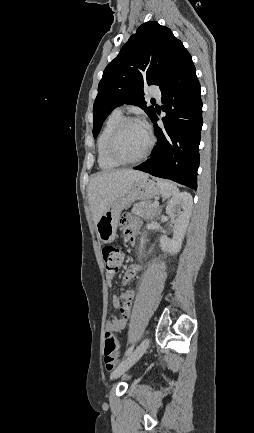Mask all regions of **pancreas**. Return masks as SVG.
I'll return each instance as SVG.
<instances>
[{
    "instance_id": "pancreas-1",
    "label": "pancreas",
    "mask_w": 254,
    "mask_h": 433,
    "mask_svg": "<svg viewBox=\"0 0 254 433\" xmlns=\"http://www.w3.org/2000/svg\"><path fill=\"white\" fill-rule=\"evenodd\" d=\"M132 213L144 219L151 220L160 213V207L153 205L150 201H141L134 204Z\"/></svg>"
}]
</instances>
